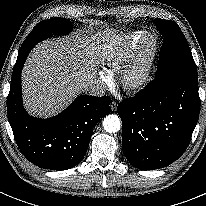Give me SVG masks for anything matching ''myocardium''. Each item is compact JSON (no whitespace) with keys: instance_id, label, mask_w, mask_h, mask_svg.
Returning a JSON list of instances; mask_svg holds the SVG:
<instances>
[{"instance_id":"obj_1","label":"myocardium","mask_w":206,"mask_h":206,"mask_svg":"<svg viewBox=\"0 0 206 206\" xmlns=\"http://www.w3.org/2000/svg\"><path fill=\"white\" fill-rule=\"evenodd\" d=\"M158 53V40L152 34L142 37L133 57L120 71L124 89L130 92L144 88L151 79Z\"/></svg>"}]
</instances>
